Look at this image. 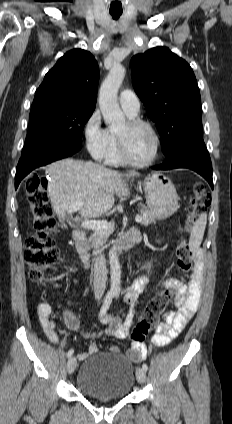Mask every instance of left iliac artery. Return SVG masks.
<instances>
[{
  "label": "left iliac artery",
  "instance_id": "44dca946",
  "mask_svg": "<svg viewBox=\"0 0 232 424\" xmlns=\"http://www.w3.org/2000/svg\"><path fill=\"white\" fill-rule=\"evenodd\" d=\"M116 297L118 298V294L116 295ZM142 368L145 370V371H147L148 370V366H147V364H143L142 365Z\"/></svg>",
  "mask_w": 232,
  "mask_h": 424
}]
</instances>
